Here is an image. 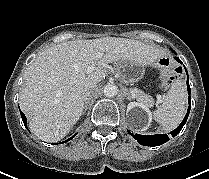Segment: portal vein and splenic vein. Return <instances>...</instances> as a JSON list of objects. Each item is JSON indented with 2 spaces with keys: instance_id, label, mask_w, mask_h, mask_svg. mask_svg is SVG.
<instances>
[{
  "instance_id": "obj_1",
  "label": "portal vein and splenic vein",
  "mask_w": 209,
  "mask_h": 179,
  "mask_svg": "<svg viewBox=\"0 0 209 179\" xmlns=\"http://www.w3.org/2000/svg\"><path fill=\"white\" fill-rule=\"evenodd\" d=\"M101 56H102L101 53H98V54H97V58H100ZM95 68H96V64H93V65H91V66H89V67L87 68V71H88V72H92V71L95 70ZM131 93H133V91H131ZM159 100H160V98H159Z\"/></svg>"
}]
</instances>
